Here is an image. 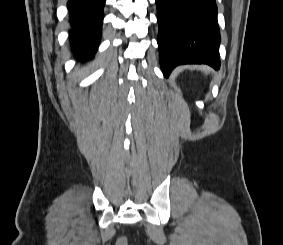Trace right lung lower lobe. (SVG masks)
<instances>
[{
	"instance_id": "1",
	"label": "right lung lower lobe",
	"mask_w": 283,
	"mask_h": 245,
	"mask_svg": "<svg viewBox=\"0 0 283 245\" xmlns=\"http://www.w3.org/2000/svg\"><path fill=\"white\" fill-rule=\"evenodd\" d=\"M105 0H69L67 7L71 20L70 40L81 60L95 53L100 37Z\"/></svg>"
}]
</instances>
